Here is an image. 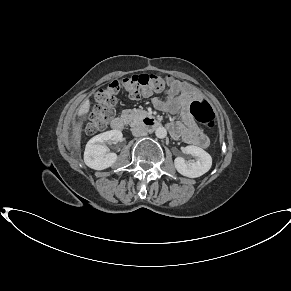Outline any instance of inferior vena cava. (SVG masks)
Wrapping results in <instances>:
<instances>
[{
  "instance_id": "obj_1",
  "label": "inferior vena cava",
  "mask_w": 291,
  "mask_h": 291,
  "mask_svg": "<svg viewBox=\"0 0 291 291\" xmlns=\"http://www.w3.org/2000/svg\"><path fill=\"white\" fill-rule=\"evenodd\" d=\"M131 131H132L133 136H136V137L146 136L147 135V129L142 125L133 127L131 129Z\"/></svg>"
}]
</instances>
